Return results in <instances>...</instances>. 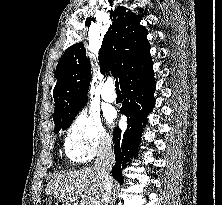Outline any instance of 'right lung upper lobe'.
Returning <instances> with one entry per match:
<instances>
[{"label": "right lung upper lobe", "instance_id": "right-lung-upper-lobe-1", "mask_svg": "<svg viewBox=\"0 0 222 205\" xmlns=\"http://www.w3.org/2000/svg\"><path fill=\"white\" fill-rule=\"evenodd\" d=\"M112 21L99 50L101 72L107 69L122 85L126 80L151 67L147 30L140 25L141 16L118 6L111 10ZM57 83L53 90L54 121L77 114L87 103L91 65L83 43L69 47L56 67Z\"/></svg>", "mask_w": 222, "mask_h": 205}]
</instances>
